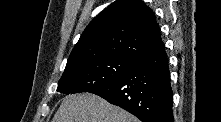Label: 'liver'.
<instances>
[{"label": "liver", "mask_w": 221, "mask_h": 122, "mask_svg": "<svg viewBox=\"0 0 221 122\" xmlns=\"http://www.w3.org/2000/svg\"><path fill=\"white\" fill-rule=\"evenodd\" d=\"M52 122H138L124 109L92 93L66 96Z\"/></svg>", "instance_id": "6515ba94"}]
</instances>
